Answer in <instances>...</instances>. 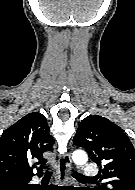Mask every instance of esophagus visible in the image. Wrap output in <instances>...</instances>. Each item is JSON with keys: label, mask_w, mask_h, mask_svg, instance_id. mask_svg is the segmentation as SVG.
<instances>
[{"label": "esophagus", "mask_w": 135, "mask_h": 190, "mask_svg": "<svg viewBox=\"0 0 135 190\" xmlns=\"http://www.w3.org/2000/svg\"><path fill=\"white\" fill-rule=\"evenodd\" d=\"M72 165L70 153H65L58 158V178L59 181L68 185L70 183V168Z\"/></svg>", "instance_id": "1"}]
</instances>
